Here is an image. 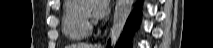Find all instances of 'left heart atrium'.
<instances>
[{
  "instance_id": "obj_1",
  "label": "left heart atrium",
  "mask_w": 213,
  "mask_h": 48,
  "mask_svg": "<svg viewBox=\"0 0 213 48\" xmlns=\"http://www.w3.org/2000/svg\"><path fill=\"white\" fill-rule=\"evenodd\" d=\"M109 1L108 0H96L95 1V7L93 10V16L96 19H101L104 18L110 10L109 6Z\"/></svg>"
}]
</instances>
